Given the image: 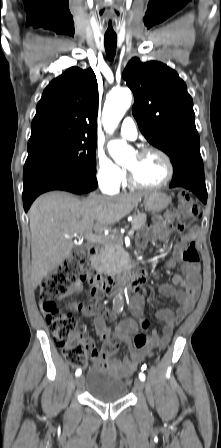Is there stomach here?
Here are the masks:
<instances>
[{
    "instance_id": "stomach-1",
    "label": "stomach",
    "mask_w": 221,
    "mask_h": 448,
    "mask_svg": "<svg viewBox=\"0 0 221 448\" xmlns=\"http://www.w3.org/2000/svg\"><path fill=\"white\" fill-rule=\"evenodd\" d=\"M171 198L162 192H151L144 196L145 209L152 213H159L166 209Z\"/></svg>"
}]
</instances>
